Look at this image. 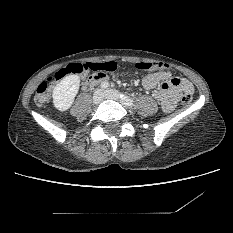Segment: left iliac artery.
I'll return each instance as SVG.
<instances>
[{
	"label": "left iliac artery",
	"instance_id": "obj_1",
	"mask_svg": "<svg viewBox=\"0 0 233 233\" xmlns=\"http://www.w3.org/2000/svg\"><path fill=\"white\" fill-rule=\"evenodd\" d=\"M120 97H121V100H122L126 105H128V106L133 105V100H132L131 98L127 97V96L124 95V94H121Z\"/></svg>",
	"mask_w": 233,
	"mask_h": 233
}]
</instances>
